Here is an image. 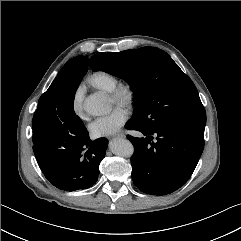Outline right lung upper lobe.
<instances>
[{"mask_svg":"<svg viewBox=\"0 0 241 241\" xmlns=\"http://www.w3.org/2000/svg\"><path fill=\"white\" fill-rule=\"evenodd\" d=\"M88 70V60L87 57L77 56L64 65V67L60 70L57 76L63 75H74L79 78H82Z\"/></svg>","mask_w":241,"mask_h":241,"instance_id":"right-lung-upper-lobe-1","label":"right lung upper lobe"}]
</instances>
